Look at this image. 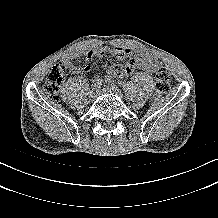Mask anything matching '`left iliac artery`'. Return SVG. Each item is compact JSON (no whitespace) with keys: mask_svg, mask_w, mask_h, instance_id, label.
I'll use <instances>...</instances> for the list:
<instances>
[{"mask_svg":"<svg viewBox=\"0 0 218 218\" xmlns=\"http://www.w3.org/2000/svg\"><path fill=\"white\" fill-rule=\"evenodd\" d=\"M114 86H115V87H118V86H119V83H118V82H115V83H114Z\"/></svg>","mask_w":218,"mask_h":218,"instance_id":"44dca946","label":"left iliac artery"}]
</instances>
